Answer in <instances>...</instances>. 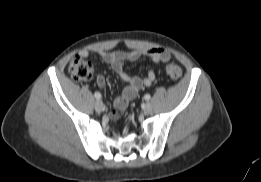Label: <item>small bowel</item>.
I'll return each instance as SVG.
<instances>
[{
  "instance_id": "c3829d8e",
  "label": "small bowel",
  "mask_w": 261,
  "mask_h": 182,
  "mask_svg": "<svg viewBox=\"0 0 261 182\" xmlns=\"http://www.w3.org/2000/svg\"><path fill=\"white\" fill-rule=\"evenodd\" d=\"M101 60L110 65L119 78L126 83L120 95H118L113 102L114 109L109 112L111 119H118L123 114L128 102L135 98L143 86H150L155 80V72L149 67L144 76H130L125 68L126 62H134L145 56L148 57L154 64L161 65L170 59L169 52L162 47H152L144 50L131 51H113L108 52L104 50L98 51ZM80 56L86 58L89 56L87 51L80 52ZM97 84L104 88L106 80L104 76L97 77Z\"/></svg>"
}]
</instances>
